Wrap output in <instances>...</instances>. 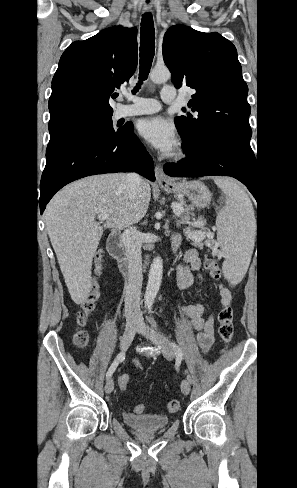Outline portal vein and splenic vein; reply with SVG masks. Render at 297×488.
Wrapping results in <instances>:
<instances>
[{"instance_id": "18ae733b", "label": "portal vein and splenic vein", "mask_w": 297, "mask_h": 488, "mask_svg": "<svg viewBox=\"0 0 297 488\" xmlns=\"http://www.w3.org/2000/svg\"><path fill=\"white\" fill-rule=\"evenodd\" d=\"M172 208L173 210L176 212V214H180L183 212V207L180 205V204H177V203H173L172 204ZM109 212L108 211H102L100 214H99V219L100 220H103V219H106L108 216H109ZM192 234L196 235V236H202L203 233L201 232H196V231H193Z\"/></svg>"}]
</instances>
